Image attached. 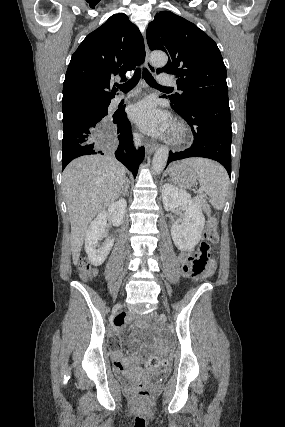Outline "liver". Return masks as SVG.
Listing matches in <instances>:
<instances>
[{"label": "liver", "mask_w": 285, "mask_h": 427, "mask_svg": "<svg viewBox=\"0 0 285 427\" xmlns=\"http://www.w3.org/2000/svg\"><path fill=\"white\" fill-rule=\"evenodd\" d=\"M126 168L113 155H88L65 168L62 189L71 223V251L77 265L92 219L105 211L124 189Z\"/></svg>", "instance_id": "obj_1"}]
</instances>
